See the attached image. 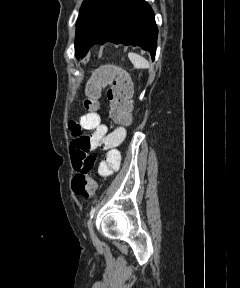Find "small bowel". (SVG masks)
I'll return each mask as SVG.
<instances>
[{
  "mask_svg": "<svg viewBox=\"0 0 240 288\" xmlns=\"http://www.w3.org/2000/svg\"><path fill=\"white\" fill-rule=\"evenodd\" d=\"M68 130L72 136L70 153L73 168L78 173H87L93 164L90 152L96 148L107 150V155L98 165V173L109 176L119 169L121 155L116 149L123 141L125 129L119 127L112 132L102 123L101 115L92 111L82 115L78 121H69ZM82 131H91L84 135Z\"/></svg>",
  "mask_w": 240,
  "mask_h": 288,
  "instance_id": "1",
  "label": "small bowel"
}]
</instances>
